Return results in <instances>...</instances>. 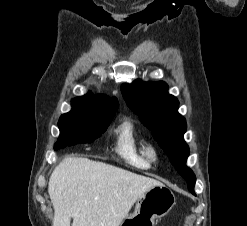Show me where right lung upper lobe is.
<instances>
[{"label":"right lung upper lobe","instance_id":"right-lung-upper-lobe-1","mask_svg":"<svg viewBox=\"0 0 247 226\" xmlns=\"http://www.w3.org/2000/svg\"><path fill=\"white\" fill-rule=\"evenodd\" d=\"M83 98L96 104L99 116L106 117L114 115L118 108L117 99L110 98L104 94L94 95L92 92H89L87 95L83 96Z\"/></svg>","mask_w":247,"mask_h":226}]
</instances>
